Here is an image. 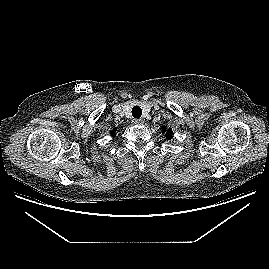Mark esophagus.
I'll return each mask as SVG.
<instances>
[{"instance_id": "esophagus-1", "label": "esophagus", "mask_w": 269, "mask_h": 269, "mask_svg": "<svg viewBox=\"0 0 269 269\" xmlns=\"http://www.w3.org/2000/svg\"><path fill=\"white\" fill-rule=\"evenodd\" d=\"M134 123L136 125H143L144 124V121L142 119H134Z\"/></svg>"}]
</instances>
